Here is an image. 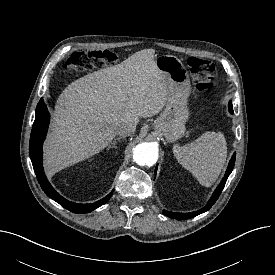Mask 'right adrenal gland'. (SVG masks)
Returning a JSON list of instances; mask_svg holds the SVG:
<instances>
[{
    "instance_id": "obj_1",
    "label": "right adrenal gland",
    "mask_w": 275,
    "mask_h": 275,
    "mask_svg": "<svg viewBox=\"0 0 275 275\" xmlns=\"http://www.w3.org/2000/svg\"><path fill=\"white\" fill-rule=\"evenodd\" d=\"M120 140H121V138H115L113 140V142L111 143V145L108 146V149H110V148H115L116 149L117 148L116 143L120 142Z\"/></svg>"
}]
</instances>
